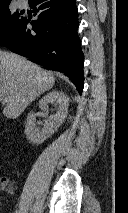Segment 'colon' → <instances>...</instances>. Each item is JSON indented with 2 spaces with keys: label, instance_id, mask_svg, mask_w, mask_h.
<instances>
[{
  "label": "colon",
  "instance_id": "5ec220e1",
  "mask_svg": "<svg viewBox=\"0 0 128 213\" xmlns=\"http://www.w3.org/2000/svg\"><path fill=\"white\" fill-rule=\"evenodd\" d=\"M8 185V180L5 177H0V187H6Z\"/></svg>",
  "mask_w": 128,
  "mask_h": 213
}]
</instances>
